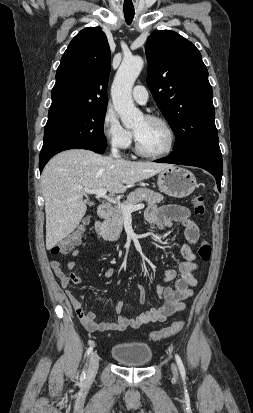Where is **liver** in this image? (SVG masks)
Wrapping results in <instances>:
<instances>
[{"label": "liver", "instance_id": "liver-1", "mask_svg": "<svg viewBox=\"0 0 253 413\" xmlns=\"http://www.w3.org/2000/svg\"><path fill=\"white\" fill-rule=\"evenodd\" d=\"M171 164L132 162L74 149L54 156L41 175L45 199L46 248L52 249L72 233L87 207L85 190L105 188L111 194L124 193L128 186L148 179Z\"/></svg>", "mask_w": 253, "mask_h": 413}]
</instances>
